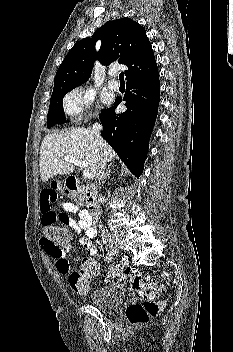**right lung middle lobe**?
<instances>
[{"mask_svg": "<svg viewBox=\"0 0 233 352\" xmlns=\"http://www.w3.org/2000/svg\"><path fill=\"white\" fill-rule=\"evenodd\" d=\"M79 85H65L53 88L47 117V128L66 121L63 111V97Z\"/></svg>", "mask_w": 233, "mask_h": 352, "instance_id": "1", "label": "right lung middle lobe"}]
</instances>
